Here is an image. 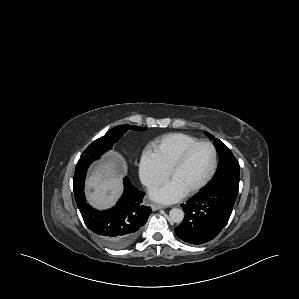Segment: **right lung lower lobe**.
<instances>
[{"instance_id": "98d812e1", "label": "right lung lower lobe", "mask_w": 299, "mask_h": 299, "mask_svg": "<svg viewBox=\"0 0 299 299\" xmlns=\"http://www.w3.org/2000/svg\"><path fill=\"white\" fill-rule=\"evenodd\" d=\"M95 159L79 161L74 173V195L77 206L87 227L99 239L113 249H123L136 240L152 210L142 204L144 192L134 187L125 177L124 193L117 204L107 210L93 209L84 196V180L90 163Z\"/></svg>"}]
</instances>
